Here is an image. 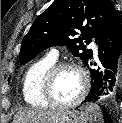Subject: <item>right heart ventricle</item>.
Segmentation results:
<instances>
[{"instance_id":"e07e8e85","label":"right heart ventricle","mask_w":122,"mask_h":123,"mask_svg":"<svg viewBox=\"0 0 122 123\" xmlns=\"http://www.w3.org/2000/svg\"><path fill=\"white\" fill-rule=\"evenodd\" d=\"M56 63L49 56L35 62L26 72L23 80V96L25 101L35 108H46L49 104L42 96V83L47 71Z\"/></svg>"}]
</instances>
